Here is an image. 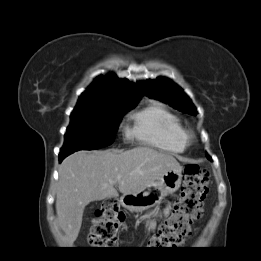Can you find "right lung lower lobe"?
<instances>
[{"label": "right lung lower lobe", "instance_id": "1", "mask_svg": "<svg viewBox=\"0 0 261 261\" xmlns=\"http://www.w3.org/2000/svg\"><path fill=\"white\" fill-rule=\"evenodd\" d=\"M68 155H69V153H60L59 154V162H61Z\"/></svg>", "mask_w": 261, "mask_h": 261}]
</instances>
